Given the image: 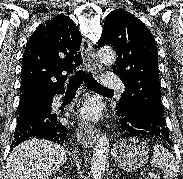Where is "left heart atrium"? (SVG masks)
<instances>
[{"label": "left heart atrium", "mask_w": 183, "mask_h": 179, "mask_svg": "<svg viewBox=\"0 0 183 179\" xmlns=\"http://www.w3.org/2000/svg\"><path fill=\"white\" fill-rule=\"evenodd\" d=\"M99 106L95 102H89L82 108V116L87 119H95L99 116Z\"/></svg>", "instance_id": "39dd6f15"}]
</instances>
